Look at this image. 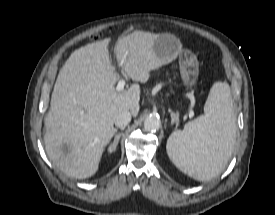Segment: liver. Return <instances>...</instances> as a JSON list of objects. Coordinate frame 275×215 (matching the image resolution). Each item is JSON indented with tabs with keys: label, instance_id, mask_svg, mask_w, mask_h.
<instances>
[{
	"label": "liver",
	"instance_id": "6515ba94",
	"mask_svg": "<svg viewBox=\"0 0 275 215\" xmlns=\"http://www.w3.org/2000/svg\"><path fill=\"white\" fill-rule=\"evenodd\" d=\"M159 34L134 31L120 38L114 54L122 72L145 83L150 72L172 60L161 59L153 49ZM109 40L75 50L61 68L45 117L46 153L67 176L84 179L98 170L105 147L116 133L115 117L139 113L140 86L116 91L118 74L111 65Z\"/></svg>",
	"mask_w": 275,
	"mask_h": 215
}]
</instances>
